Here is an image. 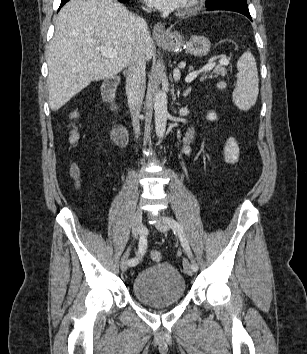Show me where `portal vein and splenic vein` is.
<instances>
[{"label":"portal vein and splenic vein","mask_w":307,"mask_h":354,"mask_svg":"<svg viewBox=\"0 0 307 354\" xmlns=\"http://www.w3.org/2000/svg\"><path fill=\"white\" fill-rule=\"evenodd\" d=\"M99 50L102 54L103 57H108V58H114V57H117V51L111 47H107V46H100L99 47ZM229 61L227 59H222L220 61V64L222 65H228ZM216 65L215 62H209L207 65H205L202 69L198 70V71H194L190 74H188L186 77H185V82H191L193 81L199 73H202L204 71H209L211 70L214 66ZM179 78V75L178 77Z\"/></svg>","instance_id":"1"}]
</instances>
